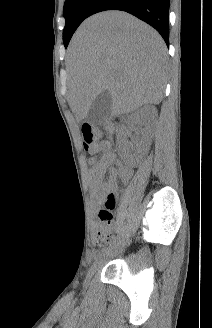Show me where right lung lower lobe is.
Masks as SVG:
<instances>
[{
	"mask_svg": "<svg viewBox=\"0 0 212 328\" xmlns=\"http://www.w3.org/2000/svg\"><path fill=\"white\" fill-rule=\"evenodd\" d=\"M170 0H96L88 17L106 10L128 12L154 27L169 45Z\"/></svg>",
	"mask_w": 212,
	"mask_h": 328,
	"instance_id": "obj_1",
	"label": "right lung lower lobe"
}]
</instances>
